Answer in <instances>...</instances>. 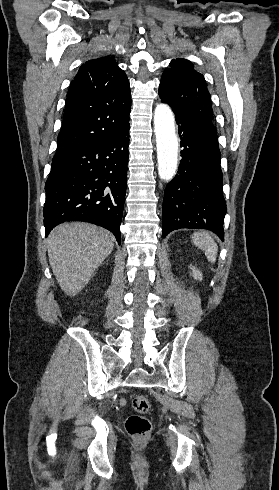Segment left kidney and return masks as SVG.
<instances>
[{"label": "left kidney", "instance_id": "5707ae66", "mask_svg": "<svg viewBox=\"0 0 279 490\" xmlns=\"http://www.w3.org/2000/svg\"><path fill=\"white\" fill-rule=\"evenodd\" d=\"M191 270H192V276H193L194 280H199V282H201V280H202L201 272H199V270H196V268H194V266H191Z\"/></svg>", "mask_w": 279, "mask_h": 490}]
</instances>
